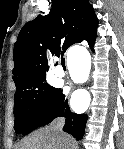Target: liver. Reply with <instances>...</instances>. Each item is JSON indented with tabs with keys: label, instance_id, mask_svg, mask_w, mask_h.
Instances as JSON below:
<instances>
[{
	"label": "liver",
	"instance_id": "obj_1",
	"mask_svg": "<svg viewBox=\"0 0 124 149\" xmlns=\"http://www.w3.org/2000/svg\"><path fill=\"white\" fill-rule=\"evenodd\" d=\"M68 136V135H64ZM71 139V147L74 145V140ZM62 142L52 127L39 129L23 140L21 149H62Z\"/></svg>",
	"mask_w": 124,
	"mask_h": 149
}]
</instances>
